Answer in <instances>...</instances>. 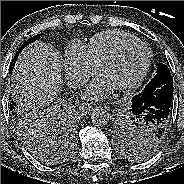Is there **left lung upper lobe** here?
<instances>
[{"instance_id":"obj_1","label":"left lung upper lobe","mask_w":184,"mask_h":184,"mask_svg":"<svg viewBox=\"0 0 184 184\" xmlns=\"http://www.w3.org/2000/svg\"><path fill=\"white\" fill-rule=\"evenodd\" d=\"M170 74L169 68L158 63L156 76ZM153 77V78H154ZM169 129L159 132L157 129L136 120L130 112L121 116L114 126L119 151L134 160H143L154 154L166 138Z\"/></svg>"}]
</instances>
